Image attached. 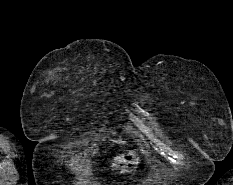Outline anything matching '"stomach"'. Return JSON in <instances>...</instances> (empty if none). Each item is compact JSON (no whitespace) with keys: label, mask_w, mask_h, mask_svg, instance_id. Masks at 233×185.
I'll return each mask as SVG.
<instances>
[{"label":"stomach","mask_w":233,"mask_h":185,"mask_svg":"<svg viewBox=\"0 0 233 185\" xmlns=\"http://www.w3.org/2000/svg\"><path fill=\"white\" fill-rule=\"evenodd\" d=\"M139 158L133 151H128L114 158L111 165L113 169L119 170L121 173H130L136 169Z\"/></svg>","instance_id":"stomach-1"}]
</instances>
